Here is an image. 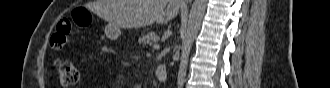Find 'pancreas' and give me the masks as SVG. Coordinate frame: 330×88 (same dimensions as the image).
I'll return each mask as SVG.
<instances>
[{
    "mask_svg": "<svg viewBox=\"0 0 330 88\" xmlns=\"http://www.w3.org/2000/svg\"><path fill=\"white\" fill-rule=\"evenodd\" d=\"M159 40V36L155 32H149L146 35L139 38V44L147 45L152 42H156Z\"/></svg>",
    "mask_w": 330,
    "mask_h": 88,
    "instance_id": "obj_1",
    "label": "pancreas"
}]
</instances>
